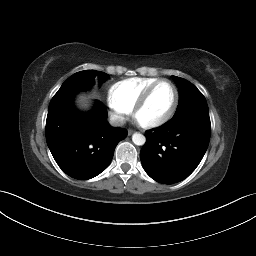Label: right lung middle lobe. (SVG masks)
Masks as SVG:
<instances>
[{"mask_svg": "<svg viewBox=\"0 0 256 256\" xmlns=\"http://www.w3.org/2000/svg\"><path fill=\"white\" fill-rule=\"evenodd\" d=\"M96 76H98L100 84L109 77L108 74L95 70H84L73 74L62 84L50 104L73 98L76 92L91 87L95 83Z\"/></svg>", "mask_w": 256, "mask_h": 256, "instance_id": "dd1d6c3e", "label": "right lung middle lobe"}]
</instances>
